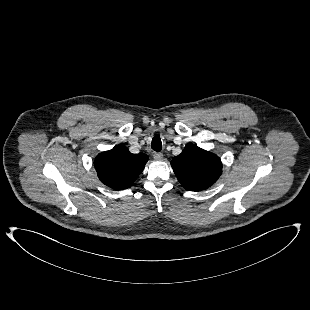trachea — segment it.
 Wrapping results in <instances>:
<instances>
[{
    "label": "trachea",
    "mask_w": 310,
    "mask_h": 310,
    "mask_svg": "<svg viewBox=\"0 0 310 310\" xmlns=\"http://www.w3.org/2000/svg\"><path fill=\"white\" fill-rule=\"evenodd\" d=\"M151 147L154 151L159 152L162 149V142L159 136H155L152 139Z\"/></svg>",
    "instance_id": "obj_1"
}]
</instances>
